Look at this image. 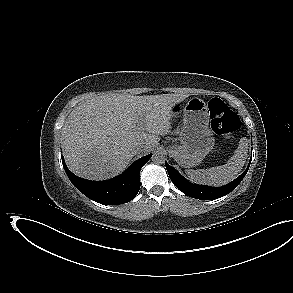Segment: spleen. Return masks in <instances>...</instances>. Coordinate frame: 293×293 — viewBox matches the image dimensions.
<instances>
[{"label": "spleen", "instance_id": "obj_1", "mask_svg": "<svg viewBox=\"0 0 293 293\" xmlns=\"http://www.w3.org/2000/svg\"><path fill=\"white\" fill-rule=\"evenodd\" d=\"M248 141L246 137L240 139L234 155L224 165L201 170H186L191 181L210 186L225 185L234 180L242 170L247 159Z\"/></svg>", "mask_w": 293, "mask_h": 293}]
</instances>
